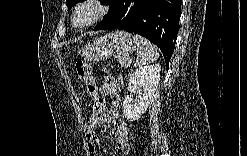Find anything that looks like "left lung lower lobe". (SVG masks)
<instances>
[{"mask_svg": "<svg viewBox=\"0 0 247 156\" xmlns=\"http://www.w3.org/2000/svg\"><path fill=\"white\" fill-rule=\"evenodd\" d=\"M181 0H118L96 30L123 29L157 45L169 64L181 15Z\"/></svg>", "mask_w": 247, "mask_h": 156, "instance_id": "0a47b994", "label": "left lung lower lobe"}]
</instances>
